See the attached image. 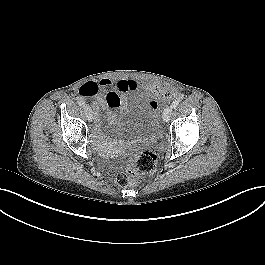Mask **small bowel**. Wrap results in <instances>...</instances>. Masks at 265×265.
Instances as JSON below:
<instances>
[{"instance_id": "c3829d8e", "label": "small bowel", "mask_w": 265, "mask_h": 265, "mask_svg": "<svg viewBox=\"0 0 265 265\" xmlns=\"http://www.w3.org/2000/svg\"><path fill=\"white\" fill-rule=\"evenodd\" d=\"M137 87L138 82L134 79H120L118 81H113L111 79L104 78L98 82L89 81L84 83L79 89V94L83 99L92 103L97 122H99L98 113L101 109L118 107L123 109V99L126 94ZM149 88L154 94L160 96L161 101H167L172 96V92L170 90L164 89L159 84H151L149 85ZM111 95H115L118 101L111 99ZM109 118H114L112 113H109ZM96 130L99 133V125Z\"/></svg>"}]
</instances>
